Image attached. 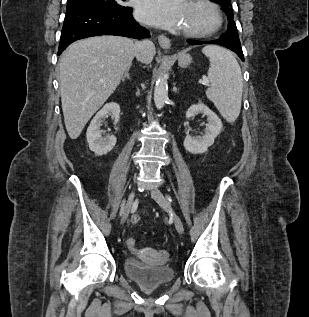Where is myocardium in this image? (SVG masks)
<instances>
[{
	"instance_id": "obj_1",
	"label": "myocardium",
	"mask_w": 309,
	"mask_h": 317,
	"mask_svg": "<svg viewBox=\"0 0 309 317\" xmlns=\"http://www.w3.org/2000/svg\"><path fill=\"white\" fill-rule=\"evenodd\" d=\"M192 5L202 7L206 9L211 15V23L205 28L198 29H184L183 34L192 38H205L215 34L222 26V15L215 3L210 0H192Z\"/></svg>"
}]
</instances>
